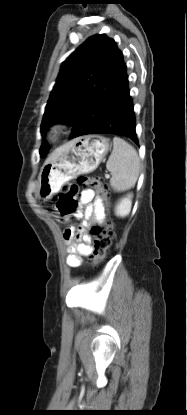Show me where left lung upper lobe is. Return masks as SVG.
Masks as SVG:
<instances>
[{"label": "left lung upper lobe", "mask_w": 187, "mask_h": 415, "mask_svg": "<svg viewBox=\"0 0 187 415\" xmlns=\"http://www.w3.org/2000/svg\"><path fill=\"white\" fill-rule=\"evenodd\" d=\"M115 47V41L105 34L94 35L63 62L45 108L42 135L55 123L66 122L75 127L85 115L91 117L96 113L99 102H91V93ZM47 151L43 143L40 155L45 156Z\"/></svg>", "instance_id": "1"}]
</instances>
